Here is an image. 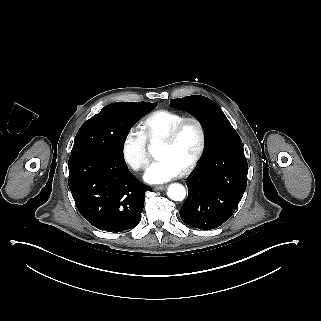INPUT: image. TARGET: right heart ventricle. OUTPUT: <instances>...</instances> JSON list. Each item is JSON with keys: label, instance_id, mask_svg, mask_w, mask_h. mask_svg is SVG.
Instances as JSON below:
<instances>
[{"label": "right heart ventricle", "instance_id": "e07e8e85", "mask_svg": "<svg viewBox=\"0 0 321 321\" xmlns=\"http://www.w3.org/2000/svg\"><path fill=\"white\" fill-rule=\"evenodd\" d=\"M185 117V114L168 109L155 110L142 121L144 133L147 137H161Z\"/></svg>", "mask_w": 321, "mask_h": 321}]
</instances>
